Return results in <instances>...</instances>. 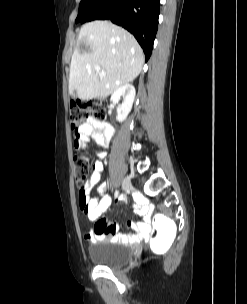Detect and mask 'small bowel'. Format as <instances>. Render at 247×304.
I'll return each mask as SVG.
<instances>
[{
  "mask_svg": "<svg viewBox=\"0 0 247 304\" xmlns=\"http://www.w3.org/2000/svg\"><path fill=\"white\" fill-rule=\"evenodd\" d=\"M112 136L113 128L109 123L88 119L80 126L77 134H75L74 145L76 147L77 143L78 148L87 149L88 143L94 141L97 145L106 148ZM77 153L79 154L80 152L78 151ZM97 156L99 159L93 165V171L85 184L83 195H79L81 210L90 221H96L94 229L85 235L86 240L92 243L107 238L115 242L139 243L147 241L151 233V208L141 198L136 202L135 209L139 215L143 216V221L128 223L132 229L137 231V234H120L118 233V225L116 223L108 219H100L110 207L111 197L107 194V183L100 184L96 195L91 196L92 188L100 181L104 168L102 160L106 157V152L100 151ZM80 161L86 162L87 156L81 155Z\"/></svg>",
  "mask_w": 247,
  "mask_h": 304,
  "instance_id": "obj_1",
  "label": "small bowel"
}]
</instances>
